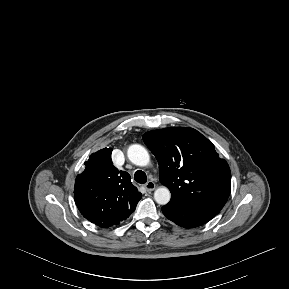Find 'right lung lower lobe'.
<instances>
[{"label":"right lung lower lobe","mask_w":289,"mask_h":289,"mask_svg":"<svg viewBox=\"0 0 289 289\" xmlns=\"http://www.w3.org/2000/svg\"><path fill=\"white\" fill-rule=\"evenodd\" d=\"M135 210V208L133 210H127L122 212L121 214H119L118 216H116L115 218H112L110 220H106L103 222H93L96 225H98L99 227L102 228H108L112 225H118L120 223V221L126 219L127 217L130 216V214Z\"/></svg>","instance_id":"obj_1"}]
</instances>
